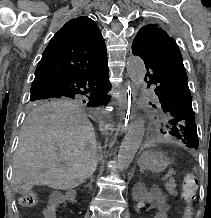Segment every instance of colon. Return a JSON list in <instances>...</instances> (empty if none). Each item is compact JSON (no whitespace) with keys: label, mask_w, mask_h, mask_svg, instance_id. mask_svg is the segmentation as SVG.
Instances as JSON below:
<instances>
[{"label":"colon","mask_w":211,"mask_h":218,"mask_svg":"<svg viewBox=\"0 0 211 218\" xmlns=\"http://www.w3.org/2000/svg\"><path fill=\"white\" fill-rule=\"evenodd\" d=\"M197 186V179L191 174L187 175L184 180L182 189V197L186 203V211L184 218H190L191 216V202L195 198ZM19 188L22 192V196L20 198L21 205L24 207L35 206L37 203V195L32 189L31 185L27 181L21 180Z\"/></svg>","instance_id":"colon-1"}]
</instances>
